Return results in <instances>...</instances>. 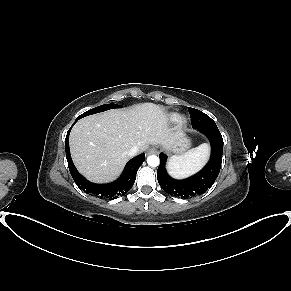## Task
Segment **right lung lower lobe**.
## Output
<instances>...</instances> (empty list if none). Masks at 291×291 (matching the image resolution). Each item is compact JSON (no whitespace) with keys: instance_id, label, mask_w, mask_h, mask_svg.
<instances>
[{"instance_id":"1","label":"right lung lower lobe","mask_w":291,"mask_h":291,"mask_svg":"<svg viewBox=\"0 0 291 291\" xmlns=\"http://www.w3.org/2000/svg\"><path fill=\"white\" fill-rule=\"evenodd\" d=\"M75 124V122H74ZM72 128V127H71ZM67 132L66 139H65V150H66V158L68 162V167L70 173L77 184V186L84 190L85 193L94 195L100 199H109L112 200L117 198L118 196L125 195L133 186L136 173L139 167L142 165L143 161L145 160V154L142 153L133 159H131L125 166L123 173L121 176L114 182L108 184H95L87 179H85L75 168L69 150V133L70 130Z\"/></svg>"}]
</instances>
